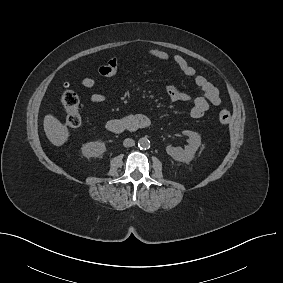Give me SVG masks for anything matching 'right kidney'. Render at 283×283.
I'll use <instances>...</instances> for the list:
<instances>
[{
  "mask_svg": "<svg viewBox=\"0 0 283 283\" xmlns=\"http://www.w3.org/2000/svg\"><path fill=\"white\" fill-rule=\"evenodd\" d=\"M81 151L86 158L100 157L106 152V146L103 142L99 141L88 142L82 146Z\"/></svg>",
  "mask_w": 283,
  "mask_h": 283,
  "instance_id": "right-kidney-1",
  "label": "right kidney"
}]
</instances>
